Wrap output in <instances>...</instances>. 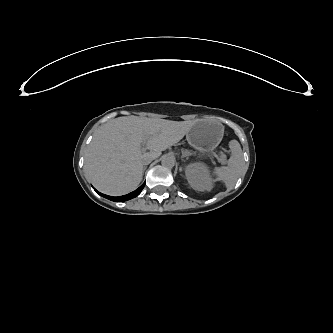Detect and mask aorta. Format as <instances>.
Masks as SVG:
<instances>
[{
    "label": "aorta",
    "mask_w": 333,
    "mask_h": 333,
    "mask_svg": "<svg viewBox=\"0 0 333 333\" xmlns=\"http://www.w3.org/2000/svg\"><path fill=\"white\" fill-rule=\"evenodd\" d=\"M176 163V159L173 154H166L161 159L162 166L166 168H173Z\"/></svg>",
    "instance_id": "762f6f07"
}]
</instances>
